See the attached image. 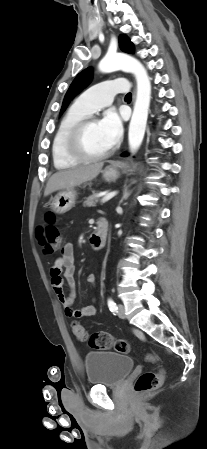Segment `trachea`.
Returning <instances> with one entry per match:
<instances>
[{"instance_id": "1", "label": "trachea", "mask_w": 207, "mask_h": 449, "mask_svg": "<svg viewBox=\"0 0 207 449\" xmlns=\"http://www.w3.org/2000/svg\"><path fill=\"white\" fill-rule=\"evenodd\" d=\"M125 98H126V99H131V98H132V94H131V93H128V94L125 96Z\"/></svg>"}]
</instances>
